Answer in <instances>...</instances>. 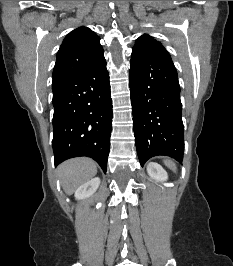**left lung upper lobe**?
Listing matches in <instances>:
<instances>
[{"mask_svg":"<svg viewBox=\"0 0 233 266\" xmlns=\"http://www.w3.org/2000/svg\"><path fill=\"white\" fill-rule=\"evenodd\" d=\"M136 42L135 46H153L164 48L160 42L154 40L153 37L149 35H142Z\"/></svg>","mask_w":233,"mask_h":266,"instance_id":"left-lung-upper-lobe-1","label":"left lung upper lobe"}]
</instances>
